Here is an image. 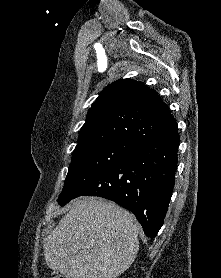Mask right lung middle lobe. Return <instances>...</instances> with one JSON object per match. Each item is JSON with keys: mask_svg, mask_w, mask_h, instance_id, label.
<instances>
[{"mask_svg": "<svg viewBox=\"0 0 221 278\" xmlns=\"http://www.w3.org/2000/svg\"><path fill=\"white\" fill-rule=\"evenodd\" d=\"M131 146L121 140H93L76 147L58 203L65 205L76 198L82 188L121 161Z\"/></svg>", "mask_w": 221, "mask_h": 278, "instance_id": "right-lung-middle-lobe-1", "label": "right lung middle lobe"}]
</instances>
